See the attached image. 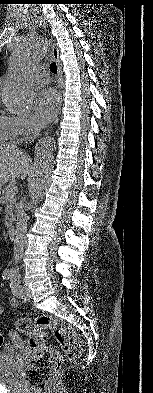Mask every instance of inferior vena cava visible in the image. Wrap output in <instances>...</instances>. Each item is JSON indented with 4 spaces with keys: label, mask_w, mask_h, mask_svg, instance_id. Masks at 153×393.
I'll return each instance as SVG.
<instances>
[{
    "label": "inferior vena cava",
    "mask_w": 153,
    "mask_h": 393,
    "mask_svg": "<svg viewBox=\"0 0 153 393\" xmlns=\"http://www.w3.org/2000/svg\"><path fill=\"white\" fill-rule=\"evenodd\" d=\"M40 129L35 127L33 139H35L39 134ZM27 221L28 217L24 211V202L20 201L17 210V223L15 230V240H14V263L17 265L23 255L24 248L26 246V233H27Z\"/></svg>",
    "instance_id": "inferior-vena-cava-1"
}]
</instances>
